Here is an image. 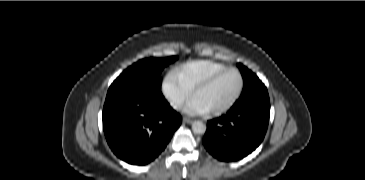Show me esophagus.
Listing matches in <instances>:
<instances>
[{"instance_id": "1", "label": "esophagus", "mask_w": 365, "mask_h": 180, "mask_svg": "<svg viewBox=\"0 0 365 180\" xmlns=\"http://www.w3.org/2000/svg\"><path fill=\"white\" fill-rule=\"evenodd\" d=\"M192 122H193V120L190 118H187V117L183 118V123H185V124H191Z\"/></svg>"}]
</instances>
